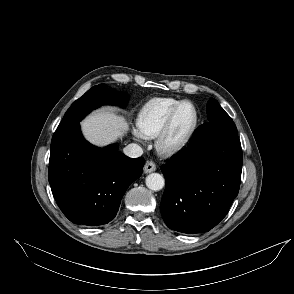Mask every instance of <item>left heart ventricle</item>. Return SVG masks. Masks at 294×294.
Segmentation results:
<instances>
[{
  "instance_id": "b2bd125f",
  "label": "left heart ventricle",
  "mask_w": 294,
  "mask_h": 294,
  "mask_svg": "<svg viewBox=\"0 0 294 294\" xmlns=\"http://www.w3.org/2000/svg\"><path fill=\"white\" fill-rule=\"evenodd\" d=\"M194 117L193 107L189 104L184 105L176 117L170 134V141L175 142L181 140L193 124Z\"/></svg>"
}]
</instances>
